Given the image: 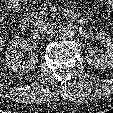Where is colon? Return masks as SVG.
<instances>
[{
	"label": "colon",
	"mask_w": 113,
	"mask_h": 113,
	"mask_svg": "<svg viewBox=\"0 0 113 113\" xmlns=\"http://www.w3.org/2000/svg\"><path fill=\"white\" fill-rule=\"evenodd\" d=\"M1 45H2V40L0 39V47H1Z\"/></svg>",
	"instance_id": "colon-1"
}]
</instances>
